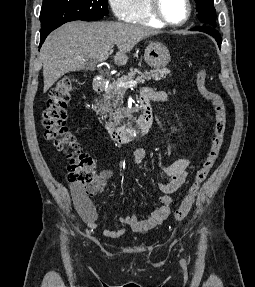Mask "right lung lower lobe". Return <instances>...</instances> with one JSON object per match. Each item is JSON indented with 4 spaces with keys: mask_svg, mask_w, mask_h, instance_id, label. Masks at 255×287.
Masks as SVG:
<instances>
[{
    "mask_svg": "<svg viewBox=\"0 0 255 287\" xmlns=\"http://www.w3.org/2000/svg\"><path fill=\"white\" fill-rule=\"evenodd\" d=\"M56 28L57 27L40 31L41 35H40V46L39 47H41V45L44 42L45 38Z\"/></svg>",
    "mask_w": 255,
    "mask_h": 287,
    "instance_id": "98d812e1",
    "label": "right lung lower lobe"
}]
</instances>
